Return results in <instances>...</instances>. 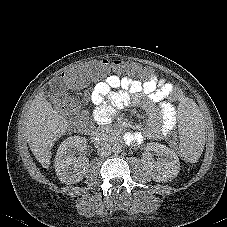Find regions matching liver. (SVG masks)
I'll use <instances>...</instances> for the list:
<instances>
[{
  "label": "liver",
  "instance_id": "obj_1",
  "mask_svg": "<svg viewBox=\"0 0 227 227\" xmlns=\"http://www.w3.org/2000/svg\"><path fill=\"white\" fill-rule=\"evenodd\" d=\"M68 127L66 117L52 107L44 92L36 95L27 114L26 136L30 150L43 168H49L51 148Z\"/></svg>",
  "mask_w": 227,
  "mask_h": 227
}]
</instances>
